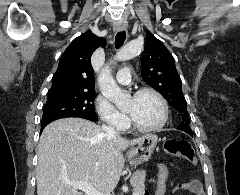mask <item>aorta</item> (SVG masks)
Segmentation results:
<instances>
[{"label":"aorta","instance_id":"1","mask_svg":"<svg viewBox=\"0 0 240 195\" xmlns=\"http://www.w3.org/2000/svg\"><path fill=\"white\" fill-rule=\"evenodd\" d=\"M141 50H143V42L133 40V42L126 44L122 50H119L114 60H120V62L131 60V58H135ZM98 84L99 90L104 98L110 99L115 105H120V101L123 99L124 94H122L121 88L116 84L109 64H106L103 70H101L100 76H98Z\"/></svg>","mask_w":240,"mask_h":195}]
</instances>
